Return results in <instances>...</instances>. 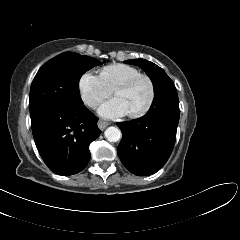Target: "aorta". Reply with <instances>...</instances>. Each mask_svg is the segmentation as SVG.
<instances>
[{
    "label": "aorta",
    "mask_w": 240,
    "mask_h": 240,
    "mask_svg": "<svg viewBox=\"0 0 240 240\" xmlns=\"http://www.w3.org/2000/svg\"><path fill=\"white\" fill-rule=\"evenodd\" d=\"M104 135L109 142H117L121 138V131L118 128L111 126L105 130Z\"/></svg>",
    "instance_id": "1"
}]
</instances>
